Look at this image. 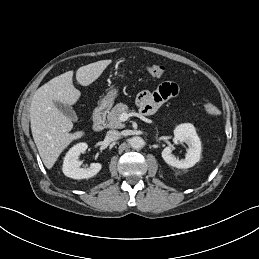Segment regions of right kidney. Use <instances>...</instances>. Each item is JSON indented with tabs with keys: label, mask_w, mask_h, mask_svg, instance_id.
<instances>
[{
	"label": "right kidney",
	"mask_w": 259,
	"mask_h": 259,
	"mask_svg": "<svg viewBox=\"0 0 259 259\" xmlns=\"http://www.w3.org/2000/svg\"><path fill=\"white\" fill-rule=\"evenodd\" d=\"M88 148L85 142L74 145L66 154L63 162V173L73 179H88L95 176L102 168L100 163H92L88 168H81L78 157Z\"/></svg>",
	"instance_id": "1"
}]
</instances>
